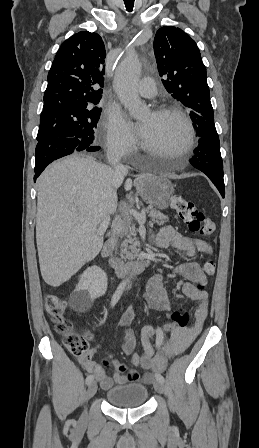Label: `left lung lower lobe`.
Returning a JSON list of instances; mask_svg holds the SVG:
<instances>
[{
    "label": "left lung lower lobe",
    "instance_id": "obj_1",
    "mask_svg": "<svg viewBox=\"0 0 259 448\" xmlns=\"http://www.w3.org/2000/svg\"><path fill=\"white\" fill-rule=\"evenodd\" d=\"M194 153L191 164L210 178L224 198L223 162L218 134L200 137L199 146Z\"/></svg>",
    "mask_w": 259,
    "mask_h": 448
}]
</instances>
